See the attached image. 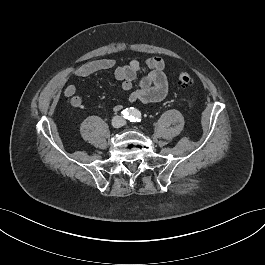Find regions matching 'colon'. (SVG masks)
<instances>
[{
  "mask_svg": "<svg viewBox=\"0 0 265 265\" xmlns=\"http://www.w3.org/2000/svg\"><path fill=\"white\" fill-rule=\"evenodd\" d=\"M178 83L183 88L189 87L192 84V78L187 72H179Z\"/></svg>",
  "mask_w": 265,
  "mask_h": 265,
  "instance_id": "colon-1",
  "label": "colon"
}]
</instances>
